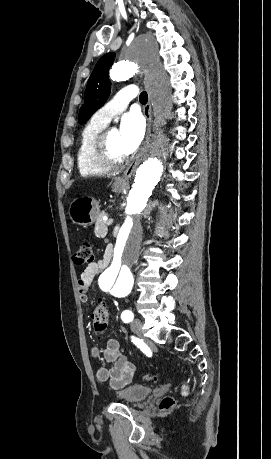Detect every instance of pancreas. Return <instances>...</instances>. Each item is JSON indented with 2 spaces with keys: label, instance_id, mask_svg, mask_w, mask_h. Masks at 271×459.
Here are the masks:
<instances>
[{
  "label": "pancreas",
  "instance_id": "obj_1",
  "mask_svg": "<svg viewBox=\"0 0 271 459\" xmlns=\"http://www.w3.org/2000/svg\"><path fill=\"white\" fill-rule=\"evenodd\" d=\"M105 216H107V214H105ZM108 222L107 219L98 218L95 224V233L98 239H103L105 237L108 231Z\"/></svg>",
  "mask_w": 271,
  "mask_h": 459
}]
</instances>
